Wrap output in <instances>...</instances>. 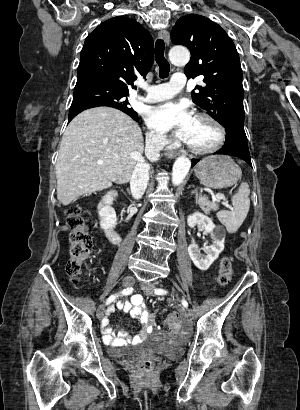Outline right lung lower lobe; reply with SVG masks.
<instances>
[{"label":"right lung lower lobe","instance_id":"obj_1","mask_svg":"<svg viewBox=\"0 0 300 410\" xmlns=\"http://www.w3.org/2000/svg\"><path fill=\"white\" fill-rule=\"evenodd\" d=\"M83 111V110H82ZM122 111V110H121ZM81 111H79V112H76V113H74V114H69V122L78 114V113H80ZM123 112H125V113H127L129 116H131L134 120H136V121H138V116L137 115H134V114H132V113H128V112H126V111H123Z\"/></svg>","mask_w":300,"mask_h":410}]
</instances>
